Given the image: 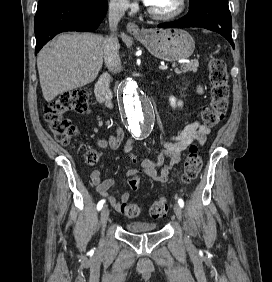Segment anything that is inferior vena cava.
Segmentation results:
<instances>
[{
    "label": "inferior vena cava",
    "mask_w": 272,
    "mask_h": 282,
    "mask_svg": "<svg viewBox=\"0 0 272 282\" xmlns=\"http://www.w3.org/2000/svg\"><path fill=\"white\" fill-rule=\"evenodd\" d=\"M126 5L117 1L109 4L108 21L111 30L110 36L104 42V60L109 71L113 74L120 72L121 62L119 57V44L116 37V29L119 21L124 15Z\"/></svg>",
    "instance_id": "602c4592"
}]
</instances>
